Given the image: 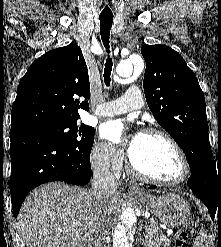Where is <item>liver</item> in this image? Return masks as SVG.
I'll return each instance as SVG.
<instances>
[{"instance_id": "1", "label": "liver", "mask_w": 221, "mask_h": 247, "mask_svg": "<svg viewBox=\"0 0 221 247\" xmlns=\"http://www.w3.org/2000/svg\"><path fill=\"white\" fill-rule=\"evenodd\" d=\"M115 192L98 207L90 190L52 182L32 190L18 216V229L27 247H92L100 229L107 234L111 213L121 207Z\"/></svg>"}]
</instances>
